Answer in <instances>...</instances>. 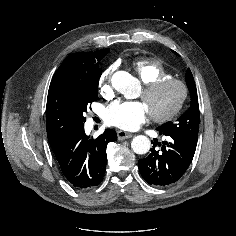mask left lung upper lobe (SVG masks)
I'll return each mask as SVG.
<instances>
[{"mask_svg": "<svg viewBox=\"0 0 236 236\" xmlns=\"http://www.w3.org/2000/svg\"><path fill=\"white\" fill-rule=\"evenodd\" d=\"M186 83L191 97L189 109L175 122L164 123L159 126L157 130L176 134L197 142L199 131V105L197 89L190 69H187Z\"/></svg>", "mask_w": 236, "mask_h": 236, "instance_id": "5c2ea615", "label": "left lung upper lobe"}]
</instances>
